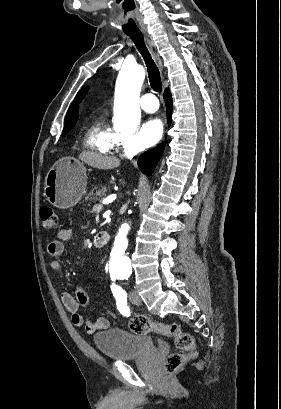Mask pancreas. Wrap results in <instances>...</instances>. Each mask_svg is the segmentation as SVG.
<instances>
[{
  "label": "pancreas",
  "mask_w": 281,
  "mask_h": 409,
  "mask_svg": "<svg viewBox=\"0 0 281 409\" xmlns=\"http://www.w3.org/2000/svg\"><path fill=\"white\" fill-rule=\"evenodd\" d=\"M107 196V186H93L92 190L86 192L85 200H97V198H104Z\"/></svg>",
  "instance_id": "cf45deb5"
}]
</instances>
